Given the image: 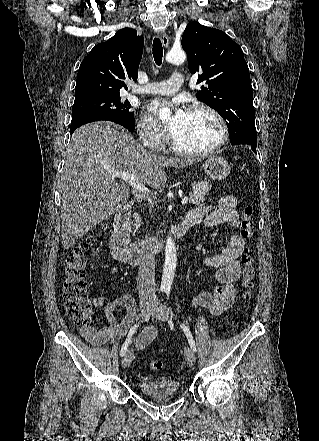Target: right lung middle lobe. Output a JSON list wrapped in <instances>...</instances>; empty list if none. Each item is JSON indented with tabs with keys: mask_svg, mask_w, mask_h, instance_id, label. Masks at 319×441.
<instances>
[{
	"mask_svg": "<svg viewBox=\"0 0 319 441\" xmlns=\"http://www.w3.org/2000/svg\"><path fill=\"white\" fill-rule=\"evenodd\" d=\"M120 96H96L76 99L72 107L71 125L93 118H113L129 131H134V114L128 101L120 102Z\"/></svg>",
	"mask_w": 319,
	"mask_h": 441,
	"instance_id": "obj_1",
	"label": "right lung middle lobe"
}]
</instances>
